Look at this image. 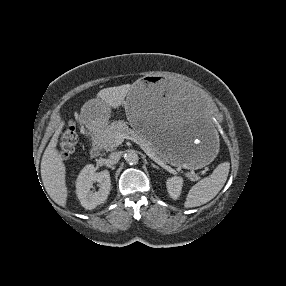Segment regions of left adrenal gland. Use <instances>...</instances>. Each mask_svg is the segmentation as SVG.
Instances as JSON below:
<instances>
[{"label":"left adrenal gland","mask_w":286,"mask_h":286,"mask_svg":"<svg viewBox=\"0 0 286 286\" xmlns=\"http://www.w3.org/2000/svg\"><path fill=\"white\" fill-rule=\"evenodd\" d=\"M151 166H152L153 168L159 169V167H158L157 165H155L154 163H151Z\"/></svg>","instance_id":"left-adrenal-gland-1"}]
</instances>
